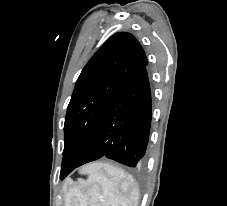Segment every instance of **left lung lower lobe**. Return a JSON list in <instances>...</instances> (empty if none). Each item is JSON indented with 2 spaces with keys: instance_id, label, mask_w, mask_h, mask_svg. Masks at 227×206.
I'll return each instance as SVG.
<instances>
[{
  "instance_id": "1",
  "label": "left lung lower lobe",
  "mask_w": 227,
  "mask_h": 206,
  "mask_svg": "<svg viewBox=\"0 0 227 206\" xmlns=\"http://www.w3.org/2000/svg\"><path fill=\"white\" fill-rule=\"evenodd\" d=\"M151 90L146 66L134 74L108 105L85 155L60 172L63 180L75 168L103 157L135 167L145 156L151 126Z\"/></svg>"
}]
</instances>
